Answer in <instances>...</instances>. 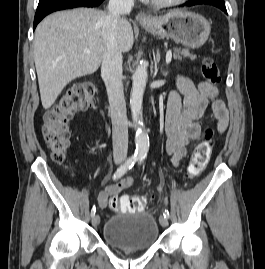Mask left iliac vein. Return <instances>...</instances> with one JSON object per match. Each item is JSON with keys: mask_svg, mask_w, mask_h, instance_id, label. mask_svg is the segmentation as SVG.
I'll return each instance as SVG.
<instances>
[{"mask_svg": "<svg viewBox=\"0 0 265 269\" xmlns=\"http://www.w3.org/2000/svg\"><path fill=\"white\" fill-rule=\"evenodd\" d=\"M159 222H160L162 227H167L168 226V219L165 218L164 216H161L159 218Z\"/></svg>", "mask_w": 265, "mask_h": 269, "instance_id": "obj_1", "label": "left iliac vein"}]
</instances>
